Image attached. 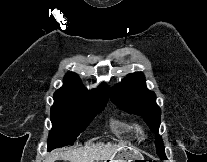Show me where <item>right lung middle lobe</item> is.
<instances>
[{
  "label": "right lung middle lobe",
  "instance_id": "dd1d6c3e",
  "mask_svg": "<svg viewBox=\"0 0 207 162\" xmlns=\"http://www.w3.org/2000/svg\"><path fill=\"white\" fill-rule=\"evenodd\" d=\"M107 99H82L54 95L51 107L52 130L49 132L48 149L73 144L79 134L100 113Z\"/></svg>",
  "mask_w": 207,
  "mask_h": 162
}]
</instances>
